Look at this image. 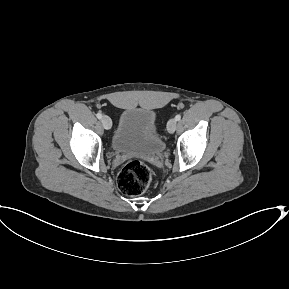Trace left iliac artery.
Wrapping results in <instances>:
<instances>
[{
    "mask_svg": "<svg viewBox=\"0 0 289 289\" xmlns=\"http://www.w3.org/2000/svg\"><path fill=\"white\" fill-rule=\"evenodd\" d=\"M175 119H176V121H179V120L181 119V115H180V114H177V115L175 116Z\"/></svg>",
    "mask_w": 289,
    "mask_h": 289,
    "instance_id": "44dca946",
    "label": "left iliac artery"
}]
</instances>
